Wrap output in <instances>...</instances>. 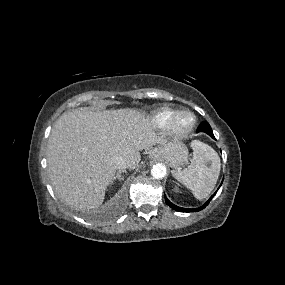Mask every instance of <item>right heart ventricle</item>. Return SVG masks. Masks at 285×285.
I'll return each mask as SVG.
<instances>
[{
  "instance_id": "right-heart-ventricle-1",
  "label": "right heart ventricle",
  "mask_w": 285,
  "mask_h": 285,
  "mask_svg": "<svg viewBox=\"0 0 285 285\" xmlns=\"http://www.w3.org/2000/svg\"><path fill=\"white\" fill-rule=\"evenodd\" d=\"M175 113L176 112L172 109L163 108L151 116V121L153 124L158 126H167L170 125Z\"/></svg>"
}]
</instances>
